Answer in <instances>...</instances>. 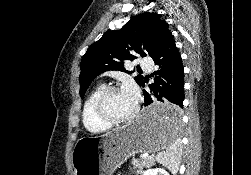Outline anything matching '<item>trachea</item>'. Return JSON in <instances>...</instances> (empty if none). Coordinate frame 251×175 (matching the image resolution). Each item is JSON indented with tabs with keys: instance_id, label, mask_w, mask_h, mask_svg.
Listing matches in <instances>:
<instances>
[{
	"instance_id": "3493384b",
	"label": "trachea",
	"mask_w": 251,
	"mask_h": 175,
	"mask_svg": "<svg viewBox=\"0 0 251 175\" xmlns=\"http://www.w3.org/2000/svg\"><path fill=\"white\" fill-rule=\"evenodd\" d=\"M138 71L142 73V70H138Z\"/></svg>"
}]
</instances>
